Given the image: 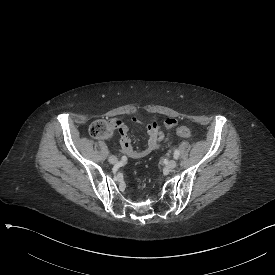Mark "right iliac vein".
<instances>
[{
	"instance_id": "63e3f726",
	"label": "right iliac vein",
	"mask_w": 275,
	"mask_h": 275,
	"mask_svg": "<svg viewBox=\"0 0 275 275\" xmlns=\"http://www.w3.org/2000/svg\"><path fill=\"white\" fill-rule=\"evenodd\" d=\"M108 160H109V162L111 163V164H115V163H117V161H118V159L115 157V156H110L109 158H108Z\"/></svg>"
}]
</instances>
